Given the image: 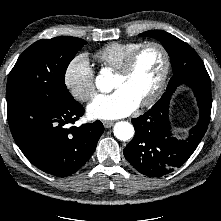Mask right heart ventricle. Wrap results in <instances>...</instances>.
Returning a JSON list of instances; mask_svg holds the SVG:
<instances>
[{
    "label": "right heart ventricle",
    "mask_w": 221,
    "mask_h": 221,
    "mask_svg": "<svg viewBox=\"0 0 221 221\" xmlns=\"http://www.w3.org/2000/svg\"><path fill=\"white\" fill-rule=\"evenodd\" d=\"M142 44V42H112L99 49L95 57L103 67L117 71L125 59Z\"/></svg>",
    "instance_id": "obj_1"
}]
</instances>
